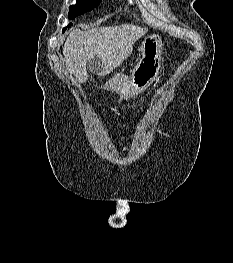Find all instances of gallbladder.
Segmentation results:
<instances>
[{"mask_svg": "<svg viewBox=\"0 0 233 263\" xmlns=\"http://www.w3.org/2000/svg\"><path fill=\"white\" fill-rule=\"evenodd\" d=\"M96 65H97V58L93 59V60H89L88 61V69L92 72L96 71Z\"/></svg>", "mask_w": 233, "mask_h": 263, "instance_id": "gallbladder-1", "label": "gallbladder"}]
</instances>
